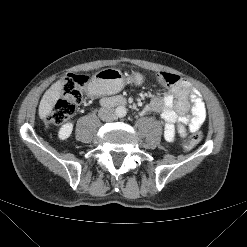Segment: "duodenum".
<instances>
[{
    "label": "duodenum",
    "mask_w": 247,
    "mask_h": 247,
    "mask_svg": "<svg viewBox=\"0 0 247 247\" xmlns=\"http://www.w3.org/2000/svg\"><path fill=\"white\" fill-rule=\"evenodd\" d=\"M101 103L105 107H117L125 105L126 100L123 96H113L103 98Z\"/></svg>",
    "instance_id": "410a0bca"
}]
</instances>
